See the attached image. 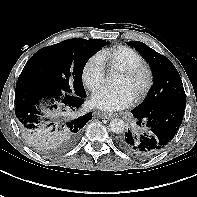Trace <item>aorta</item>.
<instances>
[{"label": "aorta", "mask_w": 197, "mask_h": 197, "mask_svg": "<svg viewBox=\"0 0 197 197\" xmlns=\"http://www.w3.org/2000/svg\"><path fill=\"white\" fill-rule=\"evenodd\" d=\"M111 81L118 80V75L110 76ZM125 129V122L122 119L114 118L110 121V130L113 133L119 134L122 133Z\"/></svg>", "instance_id": "1"}]
</instances>
